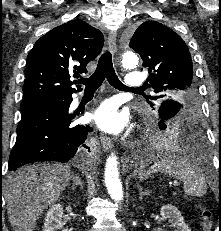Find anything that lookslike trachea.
I'll return each mask as SVG.
<instances>
[{"label": "trachea", "instance_id": "obj_1", "mask_svg": "<svg viewBox=\"0 0 221 231\" xmlns=\"http://www.w3.org/2000/svg\"><path fill=\"white\" fill-rule=\"evenodd\" d=\"M105 78L111 86L119 90H141V88H128L118 79L112 63V55L105 52L100 57L95 72L89 78L79 79V83L84 84L86 91H96Z\"/></svg>", "mask_w": 221, "mask_h": 231}]
</instances>
